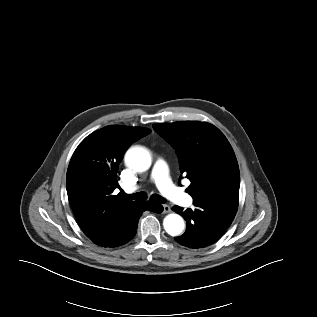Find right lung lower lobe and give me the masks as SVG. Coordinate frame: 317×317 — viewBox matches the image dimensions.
Returning <instances> with one entry per match:
<instances>
[{
    "mask_svg": "<svg viewBox=\"0 0 317 317\" xmlns=\"http://www.w3.org/2000/svg\"><path fill=\"white\" fill-rule=\"evenodd\" d=\"M149 210L155 213L163 211L162 205L149 201L136 202L118 219L105 223L96 217L79 223L84 234L101 247H117L129 242L136 234L138 220L142 212Z\"/></svg>",
    "mask_w": 317,
    "mask_h": 317,
    "instance_id": "1",
    "label": "right lung lower lobe"
}]
</instances>
